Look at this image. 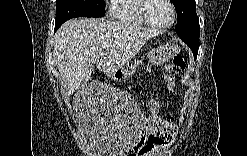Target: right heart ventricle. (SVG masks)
<instances>
[{
    "mask_svg": "<svg viewBox=\"0 0 247 156\" xmlns=\"http://www.w3.org/2000/svg\"><path fill=\"white\" fill-rule=\"evenodd\" d=\"M139 3V0L113 1L111 14L122 23L145 26L147 24L140 14Z\"/></svg>",
    "mask_w": 247,
    "mask_h": 156,
    "instance_id": "e07e8e85",
    "label": "right heart ventricle"
}]
</instances>
